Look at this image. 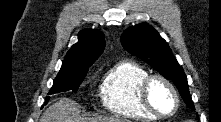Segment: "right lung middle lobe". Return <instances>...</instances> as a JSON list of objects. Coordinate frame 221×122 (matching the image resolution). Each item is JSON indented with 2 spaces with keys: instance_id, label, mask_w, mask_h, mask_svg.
Here are the masks:
<instances>
[{
  "instance_id": "1",
  "label": "right lung middle lobe",
  "mask_w": 221,
  "mask_h": 122,
  "mask_svg": "<svg viewBox=\"0 0 221 122\" xmlns=\"http://www.w3.org/2000/svg\"><path fill=\"white\" fill-rule=\"evenodd\" d=\"M88 69H83L79 71H60L57 77L54 79L53 86L49 91V94L66 92L72 90L76 92L79 88V85L82 83L85 78ZM50 97L45 99L47 103Z\"/></svg>"
}]
</instances>
